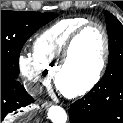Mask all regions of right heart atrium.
<instances>
[{"label":"right heart atrium","mask_w":123,"mask_h":123,"mask_svg":"<svg viewBox=\"0 0 123 123\" xmlns=\"http://www.w3.org/2000/svg\"><path fill=\"white\" fill-rule=\"evenodd\" d=\"M17 65L20 74L26 79V81L34 86L46 83L49 79L48 72L41 66L33 54H19Z\"/></svg>","instance_id":"right-heart-atrium-1"}]
</instances>
